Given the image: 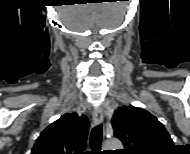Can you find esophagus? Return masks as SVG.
I'll list each match as a JSON object with an SVG mask.
<instances>
[{"instance_id": "1", "label": "esophagus", "mask_w": 190, "mask_h": 154, "mask_svg": "<svg viewBox=\"0 0 190 154\" xmlns=\"http://www.w3.org/2000/svg\"><path fill=\"white\" fill-rule=\"evenodd\" d=\"M92 119L95 125H99L103 122L104 115L101 108L96 109L92 113Z\"/></svg>"}]
</instances>
